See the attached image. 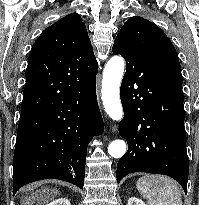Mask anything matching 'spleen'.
Here are the masks:
<instances>
[{"label": "spleen", "instance_id": "spleen-1", "mask_svg": "<svg viewBox=\"0 0 199 205\" xmlns=\"http://www.w3.org/2000/svg\"><path fill=\"white\" fill-rule=\"evenodd\" d=\"M136 187L148 205H182L178 185L166 176L145 175L137 180Z\"/></svg>", "mask_w": 199, "mask_h": 205}]
</instances>
